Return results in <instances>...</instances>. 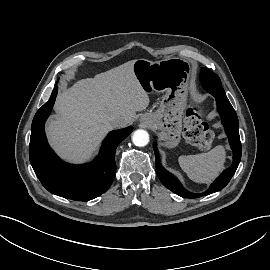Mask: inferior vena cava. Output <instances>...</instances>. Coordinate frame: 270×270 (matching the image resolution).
<instances>
[{"instance_id":"1","label":"inferior vena cava","mask_w":270,"mask_h":270,"mask_svg":"<svg viewBox=\"0 0 270 270\" xmlns=\"http://www.w3.org/2000/svg\"><path fill=\"white\" fill-rule=\"evenodd\" d=\"M110 123L113 128H118V127L124 126L125 122L122 118L116 117V118H112Z\"/></svg>"}]
</instances>
